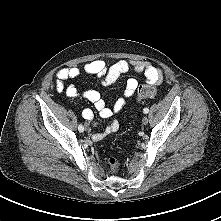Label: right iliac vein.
<instances>
[{
  "mask_svg": "<svg viewBox=\"0 0 221 221\" xmlns=\"http://www.w3.org/2000/svg\"><path fill=\"white\" fill-rule=\"evenodd\" d=\"M85 129H86V130L88 129V125H85Z\"/></svg>",
  "mask_w": 221,
  "mask_h": 221,
  "instance_id": "1",
  "label": "right iliac vein"
}]
</instances>
